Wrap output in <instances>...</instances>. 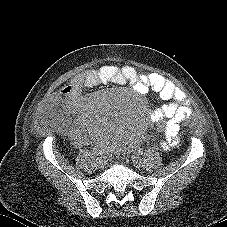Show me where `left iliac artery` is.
Segmentation results:
<instances>
[{"instance_id": "44dca946", "label": "left iliac artery", "mask_w": 227, "mask_h": 227, "mask_svg": "<svg viewBox=\"0 0 227 227\" xmlns=\"http://www.w3.org/2000/svg\"><path fill=\"white\" fill-rule=\"evenodd\" d=\"M139 154H143V152L142 151H139Z\"/></svg>"}]
</instances>
